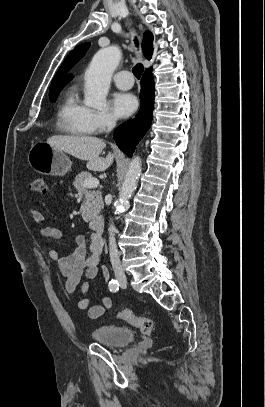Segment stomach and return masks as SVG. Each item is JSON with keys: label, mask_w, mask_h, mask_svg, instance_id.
<instances>
[{"label": "stomach", "mask_w": 265, "mask_h": 407, "mask_svg": "<svg viewBox=\"0 0 265 407\" xmlns=\"http://www.w3.org/2000/svg\"><path fill=\"white\" fill-rule=\"evenodd\" d=\"M30 166L38 173L64 176L71 168L69 157L46 142L35 143L28 154Z\"/></svg>", "instance_id": "obj_1"}]
</instances>
